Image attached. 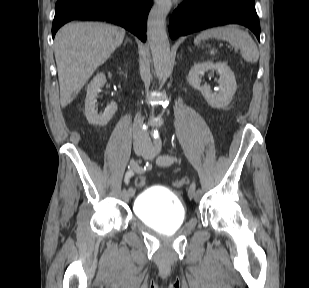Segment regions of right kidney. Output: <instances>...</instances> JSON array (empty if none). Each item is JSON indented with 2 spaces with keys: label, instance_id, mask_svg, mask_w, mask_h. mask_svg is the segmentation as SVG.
<instances>
[{
  "label": "right kidney",
  "instance_id": "obj_1",
  "mask_svg": "<svg viewBox=\"0 0 309 288\" xmlns=\"http://www.w3.org/2000/svg\"><path fill=\"white\" fill-rule=\"evenodd\" d=\"M106 83V77L103 73L97 74L90 84L87 87V95L85 99V116L89 123L93 125L104 126L106 125L111 118L114 116L117 111V104L111 102L103 114H98L95 111L96 97L100 88L103 87Z\"/></svg>",
  "mask_w": 309,
  "mask_h": 288
}]
</instances>
